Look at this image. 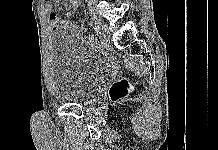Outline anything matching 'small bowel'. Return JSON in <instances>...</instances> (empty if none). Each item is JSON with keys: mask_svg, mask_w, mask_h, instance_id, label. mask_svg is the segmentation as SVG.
<instances>
[{"mask_svg": "<svg viewBox=\"0 0 218 150\" xmlns=\"http://www.w3.org/2000/svg\"><path fill=\"white\" fill-rule=\"evenodd\" d=\"M55 1H60V0H48V2L45 5V10L48 13L51 30L54 32L61 30V29L81 31L82 27L79 25H76L69 19V17L74 13V11L76 10L78 6V0H62V1H69L71 4V9L69 10V12H67L66 19L59 18V16L54 12L53 3Z\"/></svg>", "mask_w": 218, "mask_h": 150, "instance_id": "obj_1", "label": "small bowel"}]
</instances>
